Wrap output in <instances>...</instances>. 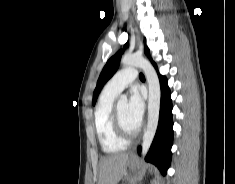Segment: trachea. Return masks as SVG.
<instances>
[{"mask_svg":"<svg viewBox=\"0 0 235 184\" xmlns=\"http://www.w3.org/2000/svg\"><path fill=\"white\" fill-rule=\"evenodd\" d=\"M140 79H145L144 75L142 73L139 74Z\"/></svg>","mask_w":235,"mask_h":184,"instance_id":"3493384b","label":"trachea"}]
</instances>
